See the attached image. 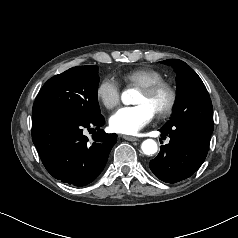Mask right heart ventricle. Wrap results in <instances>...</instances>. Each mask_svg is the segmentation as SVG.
Returning <instances> with one entry per match:
<instances>
[{"label": "right heart ventricle", "mask_w": 238, "mask_h": 238, "mask_svg": "<svg viewBox=\"0 0 238 238\" xmlns=\"http://www.w3.org/2000/svg\"><path fill=\"white\" fill-rule=\"evenodd\" d=\"M122 79L128 84H133L141 88L163 80V75L156 69L140 67L125 72L122 75Z\"/></svg>", "instance_id": "1"}]
</instances>
